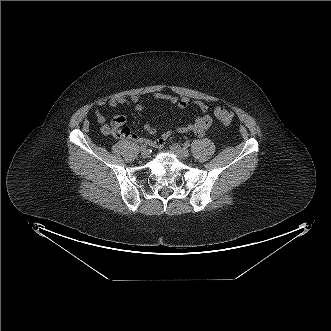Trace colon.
I'll return each mask as SVG.
<instances>
[{"mask_svg": "<svg viewBox=\"0 0 331 331\" xmlns=\"http://www.w3.org/2000/svg\"><path fill=\"white\" fill-rule=\"evenodd\" d=\"M214 115L223 125H230L234 118L233 112L224 106L216 107L214 109Z\"/></svg>", "mask_w": 331, "mask_h": 331, "instance_id": "1", "label": "colon"}]
</instances>
